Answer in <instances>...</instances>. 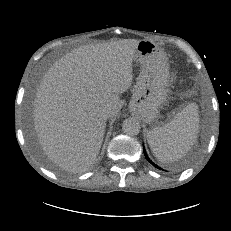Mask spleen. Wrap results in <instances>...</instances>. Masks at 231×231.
I'll use <instances>...</instances> for the list:
<instances>
[{"label": "spleen", "instance_id": "spleen-1", "mask_svg": "<svg viewBox=\"0 0 231 231\" xmlns=\"http://www.w3.org/2000/svg\"><path fill=\"white\" fill-rule=\"evenodd\" d=\"M199 131L198 107L188 104L167 124L147 133V140L154 156L168 163L182 158L195 143Z\"/></svg>", "mask_w": 231, "mask_h": 231}]
</instances>
